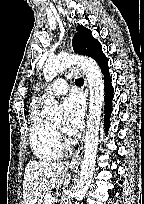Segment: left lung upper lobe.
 Masks as SVG:
<instances>
[{"label": "left lung upper lobe", "instance_id": "5c2ea615", "mask_svg": "<svg viewBox=\"0 0 144 204\" xmlns=\"http://www.w3.org/2000/svg\"><path fill=\"white\" fill-rule=\"evenodd\" d=\"M77 31L72 40L73 49L76 53L87 55L95 60L105 56L100 43L92 37L90 30L78 25Z\"/></svg>", "mask_w": 144, "mask_h": 204}]
</instances>
